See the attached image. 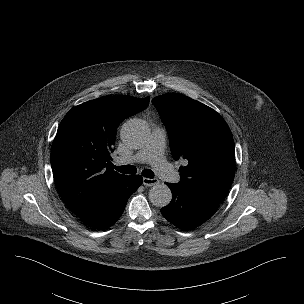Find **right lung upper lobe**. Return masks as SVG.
Wrapping results in <instances>:
<instances>
[{
  "instance_id": "cb5924a9",
  "label": "right lung upper lobe",
  "mask_w": 304,
  "mask_h": 304,
  "mask_svg": "<svg viewBox=\"0 0 304 304\" xmlns=\"http://www.w3.org/2000/svg\"><path fill=\"white\" fill-rule=\"evenodd\" d=\"M148 104L149 97L105 96L72 108L61 121L51 166L61 198L78 217L125 176L111 168L117 127Z\"/></svg>"
}]
</instances>
